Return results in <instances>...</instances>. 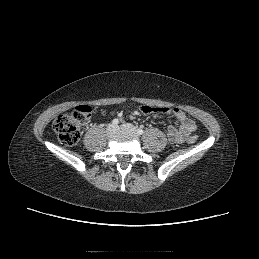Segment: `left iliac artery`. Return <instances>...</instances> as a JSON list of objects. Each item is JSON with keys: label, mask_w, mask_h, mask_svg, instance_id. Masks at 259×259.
I'll use <instances>...</instances> for the list:
<instances>
[{"label": "left iliac artery", "mask_w": 259, "mask_h": 259, "mask_svg": "<svg viewBox=\"0 0 259 259\" xmlns=\"http://www.w3.org/2000/svg\"><path fill=\"white\" fill-rule=\"evenodd\" d=\"M137 132H138L139 135H142V134L144 133L143 129H141V128H139V129L137 130Z\"/></svg>", "instance_id": "1"}]
</instances>
